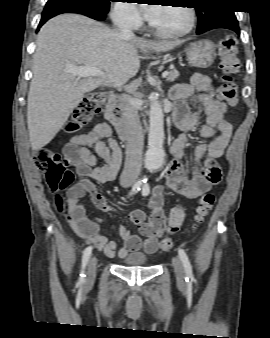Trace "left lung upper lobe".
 I'll list each match as a JSON object with an SVG mask.
<instances>
[{
    "label": "left lung upper lobe",
    "instance_id": "5c2ea615",
    "mask_svg": "<svg viewBox=\"0 0 270 338\" xmlns=\"http://www.w3.org/2000/svg\"><path fill=\"white\" fill-rule=\"evenodd\" d=\"M229 0H197L196 7L198 16L197 33H203L211 26L226 17L235 16L234 11L227 7Z\"/></svg>",
    "mask_w": 270,
    "mask_h": 338
}]
</instances>
